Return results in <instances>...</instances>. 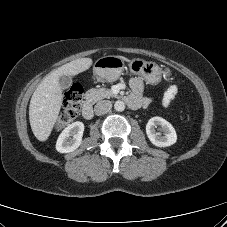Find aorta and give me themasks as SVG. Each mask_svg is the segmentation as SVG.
I'll use <instances>...</instances> for the list:
<instances>
[{
    "label": "aorta",
    "mask_w": 227,
    "mask_h": 227,
    "mask_svg": "<svg viewBox=\"0 0 227 227\" xmlns=\"http://www.w3.org/2000/svg\"><path fill=\"white\" fill-rule=\"evenodd\" d=\"M114 109L118 112H122L125 109V103L123 101H116L114 104Z\"/></svg>",
    "instance_id": "762f6f07"
}]
</instances>
